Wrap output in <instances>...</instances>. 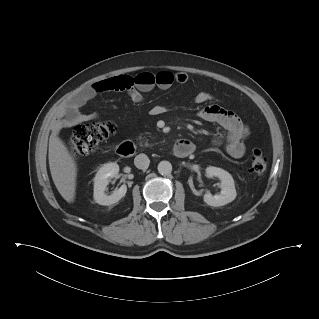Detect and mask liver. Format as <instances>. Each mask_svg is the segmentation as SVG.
I'll return each mask as SVG.
<instances>
[{"label": "liver", "mask_w": 319, "mask_h": 319, "mask_svg": "<svg viewBox=\"0 0 319 319\" xmlns=\"http://www.w3.org/2000/svg\"><path fill=\"white\" fill-rule=\"evenodd\" d=\"M49 167L60 195L69 203L76 195L77 164L65 143L53 132L49 139Z\"/></svg>", "instance_id": "liver-1"}]
</instances>
